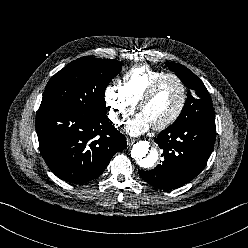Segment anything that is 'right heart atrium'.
Listing matches in <instances>:
<instances>
[{
  "mask_svg": "<svg viewBox=\"0 0 248 248\" xmlns=\"http://www.w3.org/2000/svg\"><path fill=\"white\" fill-rule=\"evenodd\" d=\"M105 103L111 121L122 125L134 113L136 105L127 97L123 88L118 85H109L104 93Z\"/></svg>",
  "mask_w": 248,
  "mask_h": 248,
  "instance_id": "d8ad5b80",
  "label": "right heart atrium"
}]
</instances>
